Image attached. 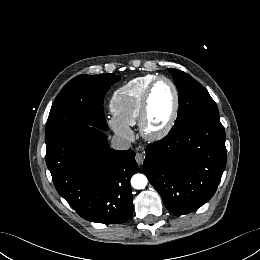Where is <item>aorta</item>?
Wrapping results in <instances>:
<instances>
[{
  "label": "aorta",
  "mask_w": 260,
  "mask_h": 260,
  "mask_svg": "<svg viewBox=\"0 0 260 260\" xmlns=\"http://www.w3.org/2000/svg\"><path fill=\"white\" fill-rule=\"evenodd\" d=\"M147 177L144 174H135L131 178V186L135 189H144L147 185Z\"/></svg>",
  "instance_id": "obj_1"
}]
</instances>
